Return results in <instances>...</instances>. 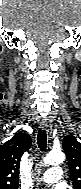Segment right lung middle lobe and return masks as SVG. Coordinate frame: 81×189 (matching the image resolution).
I'll return each instance as SVG.
<instances>
[{"mask_svg":"<svg viewBox=\"0 0 81 189\" xmlns=\"http://www.w3.org/2000/svg\"><path fill=\"white\" fill-rule=\"evenodd\" d=\"M3 189H18L17 187H5Z\"/></svg>","mask_w":81,"mask_h":189,"instance_id":"obj_1","label":"right lung middle lobe"}]
</instances>
